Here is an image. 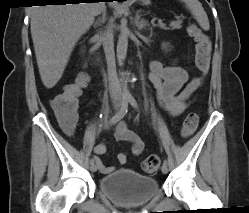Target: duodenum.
Segmentation results:
<instances>
[{
	"mask_svg": "<svg viewBox=\"0 0 249 213\" xmlns=\"http://www.w3.org/2000/svg\"><path fill=\"white\" fill-rule=\"evenodd\" d=\"M91 54H92V56H93V60L96 61L97 59H96V57H95V51H94V50H91Z\"/></svg>",
	"mask_w": 249,
	"mask_h": 213,
	"instance_id": "duodenum-1",
	"label": "duodenum"
}]
</instances>
